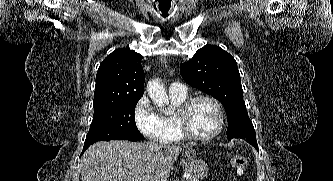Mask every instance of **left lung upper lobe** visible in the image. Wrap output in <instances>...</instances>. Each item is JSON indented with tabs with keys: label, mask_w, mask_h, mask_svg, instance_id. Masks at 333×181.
<instances>
[{
	"label": "left lung upper lobe",
	"mask_w": 333,
	"mask_h": 181,
	"mask_svg": "<svg viewBox=\"0 0 333 181\" xmlns=\"http://www.w3.org/2000/svg\"><path fill=\"white\" fill-rule=\"evenodd\" d=\"M180 73L189 85L212 95L223 104L228 119V139L244 134L256 140L243 100L237 63L228 52L217 46H205L181 65Z\"/></svg>",
	"instance_id": "5c2ea615"
}]
</instances>
